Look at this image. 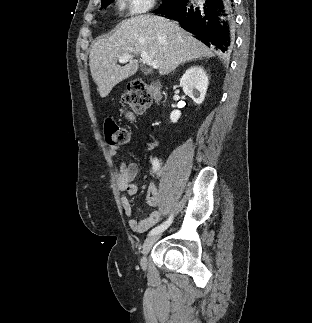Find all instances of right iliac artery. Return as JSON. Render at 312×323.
<instances>
[{
    "mask_svg": "<svg viewBox=\"0 0 312 323\" xmlns=\"http://www.w3.org/2000/svg\"><path fill=\"white\" fill-rule=\"evenodd\" d=\"M159 167V163H158V160L155 158L154 161H153V170L156 171ZM172 219L173 217L170 216L169 219L164 222L163 224L153 228L150 232H149V235H155V234H158L162 231H164L165 229L168 228V226L172 223Z\"/></svg>",
    "mask_w": 312,
    "mask_h": 323,
    "instance_id": "right-iliac-artery-1",
    "label": "right iliac artery"
}]
</instances>
